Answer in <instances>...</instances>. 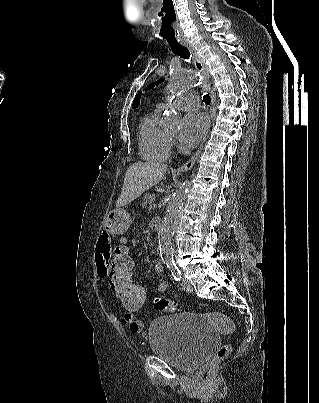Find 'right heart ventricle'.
Returning a JSON list of instances; mask_svg holds the SVG:
<instances>
[{"label":"right heart ventricle","instance_id":"right-heart-ventricle-1","mask_svg":"<svg viewBox=\"0 0 319 403\" xmlns=\"http://www.w3.org/2000/svg\"><path fill=\"white\" fill-rule=\"evenodd\" d=\"M161 107L147 113L139 124V152L144 160L165 161L170 154V141L161 128L159 119Z\"/></svg>","mask_w":319,"mask_h":403}]
</instances>
